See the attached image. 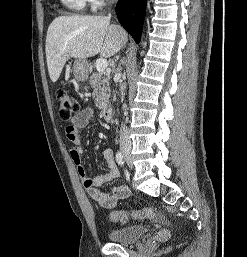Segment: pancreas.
Returning a JSON list of instances; mask_svg holds the SVG:
<instances>
[{
  "instance_id": "pancreas-1",
  "label": "pancreas",
  "mask_w": 247,
  "mask_h": 257,
  "mask_svg": "<svg viewBox=\"0 0 247 257\" xmlns=\"http://www.w3.org/2000/svg\"><path fill=\"white\" fill-rule=\"evenodd\" d=\"M110 74L107 72L93 73L89 78V84L93 88V97L95 98V105L98 109H104L109 103Z\"/></svg>"
}]
</instances>
